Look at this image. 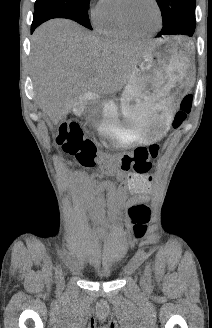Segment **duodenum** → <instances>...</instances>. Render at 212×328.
Wrapping results in <instances>:
<instances>
[{"label": "duodenum", "mask_w": 212, "mask_h": 328, "mask_svg": "<svg viewBox=\"0 0 212 328\" xmlns=\"http://www.w3.org/2000/svg\"><path fill=\"white\" fill-rule=\"evenodd\" d=\"M93 100V95L91 93H85L75 103V110L82 112L87 104Z\"/></svg>", "instance_id": "obj_1"}]
</instances>
